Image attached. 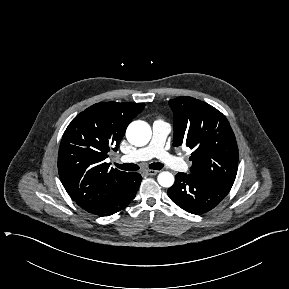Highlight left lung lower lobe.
Instances as JSON below:
<instances>
[{"label": "left lung lower lobe", "mask_w": 289, "mask_h": 289, "mask_svg": "<svg viewBox=\"0 0 289 289\" xmlns=\"http://www.w3.org/2000/svg\"><path fill=\"white\" fill-rule=\"evenodd\" d=\"M230 189L191 173H178L175 183L168 189V196L183 210L199 215L215 208Z\"/></svg>", "instance_id": "obj_1"}]
</instances>
